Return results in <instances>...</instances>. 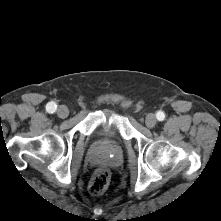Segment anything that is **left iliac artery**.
Listing matches in <instances>:
<instances>
[{
    "label": "left iliac artery",
    "instance_id": "44dca946",
    "mask_svg": "<svg viewBox=\"0 0 221 221\" xmlns=\"http://www.w3.org/2000/svg\"><path fill=\"white\" fill-rule=\"evenodd\" d=\"M156 118L159 120V121H163L165 119V113L162 112V111H158L156 113Z\"/></svg>",
    "mask_w": 221,
    "mask_h": 221
}]
</instances>
